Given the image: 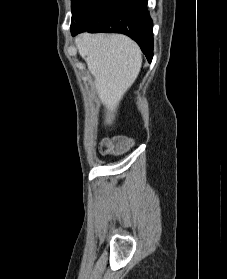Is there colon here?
I'll list each match as a JSON object with an SVG mask.
<instances>
[{"mask_svg":"<svg viewBox=\"0 0 227 279\" xmlns=\"http://www.w3.org/2000/svg\"><path fill=\"white\" fill-rule=\"evenodd\" d=\"M130 145V141L103 142L99 146V152L101 154H121L127 151Z\"/></svg>","mask_w":227,"mask_h":279,"instance_id":"obj_1","label":"colon"}]
</instances>
